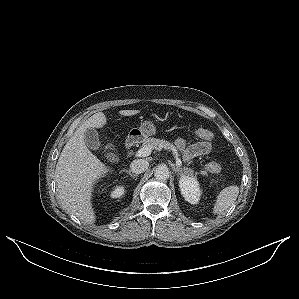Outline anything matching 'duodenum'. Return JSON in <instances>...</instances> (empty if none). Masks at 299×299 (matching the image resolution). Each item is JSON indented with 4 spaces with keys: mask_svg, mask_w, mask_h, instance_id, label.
Wrapping results in <instances>:
<instances>
[{
    "mask_svg": "<svg viewBox=\"0 0 299 299\" xmlns=\"http://www.w3.org/2000/svg\"><path fill=\"white\" fill-rule=\"evenodd\" d=\"M134 143H135V140L133 137L128 138L126 141V149L127 150L131 149L132 146L134 145Z\"/></svg>",
    "mask_w": 299,
    "mask_h": 299,
    "instance_id": "obj_1",
    "label": "duodenum"
}]
</instances>
